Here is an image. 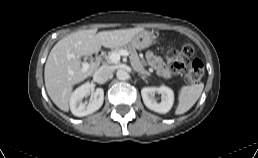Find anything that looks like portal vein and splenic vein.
I'll return each mask as SVG.
<instances>
[{
  "label": "portal vein and splenic vein",
  "mask_w": 258,
  "mask_h": 158,
  "mask_svg": "<svg viewBox=\"0 0 258 158\" xmlns=\"http://www.w3.org/2000/svg\"><path fill=\"white\" fill-rule=\"evenodd\" d=\"M129 53L125 50H121L119 53H112L110 56H109V59L112 63H118L120 61V57L121 56H128ZM68 57L71 58V57H75L74 54H68ZM89 67V64L88 63H84L83 64V69L82 71H86Z\"/></svg>",
  "instance_id": "obj_1"
}]
</instances>
